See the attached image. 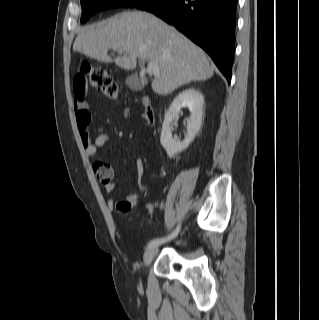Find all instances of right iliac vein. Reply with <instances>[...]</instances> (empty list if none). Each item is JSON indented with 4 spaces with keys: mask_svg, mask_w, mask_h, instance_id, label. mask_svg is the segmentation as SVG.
<instances>
[{
    "mask_svg": "<svg viewBox=\"0 0 319 320\" xmlns=\"http://www.w3.org/2000/svg\"><path fill=\"white\" fill-rule=\"evenodd\" d=\"M157 252H158L157 247L148 248L145 251L144 257H143L145 265H149L152 262L153 258L156 256Z\"/></svg>",
    "mask_w": 319,
    "mask_h": 320,
    "instance_id": "1",
    "label": "right iliac vein"
}]
</instances>
